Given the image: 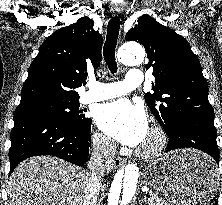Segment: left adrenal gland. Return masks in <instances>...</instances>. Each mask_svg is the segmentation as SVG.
Returning a JSON list of instances; mask_svg holds the SVG:
<instances>
[{
	"label": "left adrenal gland",
	"mask_w": 222,
	"mask_h": 205,
	"mask_svg": "<svg viewBox=\"0 0 222 205\" xmlns=\"http://www.w3.org/2000/svg\"><path fill=\"white\" fill-rule=\"evenodd\" d=\"M143 203H147L146 197L142 198Z\"/></svg>",
	"instance_id": "obj_1"
}]
</instances>
